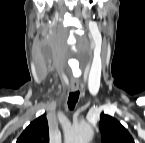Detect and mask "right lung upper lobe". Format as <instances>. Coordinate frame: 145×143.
Returning a JSON list of instances; mask_svg holds the SVG:
<instances>
[{
  "label": "right lung upper lobe",
  "instance_id": "right-lung-upper-lobe-1",
  "mask_svg": "<svg viewBox=\"0 0 145 143\" xmlns=\"http://www.w3.org/2000/svg\"><path fill=\"white\" fill-rule=\"evenodd\" d=\"M17 143H49V130L46 114H43L23 131Z\"/></svg>",
  "mask_w": 145,
  "mask_h": 143
}]
</instances>
